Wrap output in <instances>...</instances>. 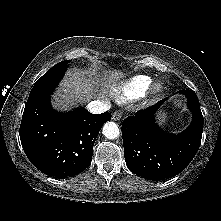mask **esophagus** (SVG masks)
Masks as SVG:
<instances>
[{
    "label": "esophagus",
    "instance_id": "obj_1",
    "mask_svg": "<svg viewBox=\"0 0 221 221\" xmlns=\"http://www.w3.org/2000/svg\"><path fill=\"white\" fill-rule=\"evenodd\" d=\"M122 118V113L120 111H115L113 114H112V119L114 121H119L120 119Z\"/></svg>",
    "mask_w": 221,
    "mask_h": 221
}]
</instances>
